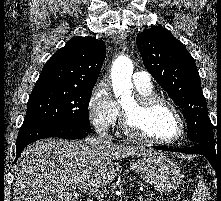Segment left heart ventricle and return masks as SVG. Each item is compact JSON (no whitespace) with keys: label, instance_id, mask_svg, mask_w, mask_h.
<instances>
[{"label":"left heart ventricle","instance_id":"1","mask_svg":"<svg viewBox=\"0 0 221 201\" xmlns=\"http://www.w3.org/2000/svg\"><path fill=\"white\" fill-rule=\"evenodd\" d=\"M130 111L140 130L146 135L157 139H173L178 136L180 124L173 111L164 104H157L145 112H137L135 99L124 104Z\"/></svg>","mask_w":221,"mask_h":201}]
</instances>
